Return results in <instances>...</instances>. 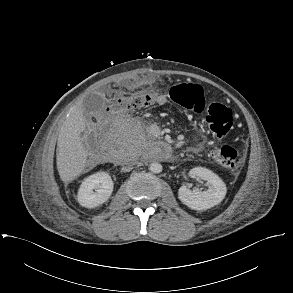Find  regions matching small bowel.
Wrapping results in <instances>:
<instances>
[{"instance_id":"c3829d8e","label":"small bowel","mask_w":293,"mask_h":293,"mask_svg":"<svg viewBox=\"0 0 293 293\" xmlns=\"http://www.w3.org/2000/svg\"><path fill=\"white\" fill-rule=\"evenodd\" d=\"M139 86H146L153 91L154 96H155V103L157 105H162V104L166 103L165 96L155 90L154 79L152 77L147 76V77L140 78V79H134L126 84V88H128V89H134ZM201 148H202V145H198V146L190 147V150L193 152H197Z\"/></svg>"}]
</instances>
